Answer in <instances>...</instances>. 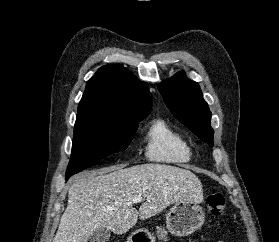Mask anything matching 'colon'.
Returning <instances> with one entry per match:
<instances>
[{
  "instance_id": "obj_1",
  "label": "colon",
  "mask_w": 279,
  "mask_h": 242,
  "mask_svg": "<svg viewBox=\"0 0 279 242\" xmlns=\"http://www.w3.org/2000/svg\"><path fill=\"white\" fill-rule=\"evenodd\" d=\"M208 214L214 219H220L224 215L225 197L222 193H214L207 197L205 202Z\"/></svg>"
}]
</instances>
